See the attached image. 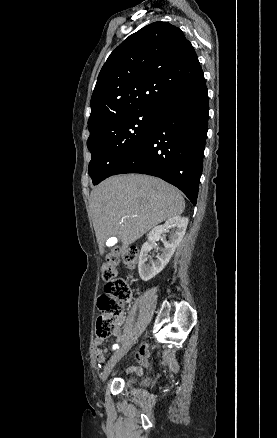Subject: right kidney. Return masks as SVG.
I'll return each mask as SVG.
<instances>
[{
  "label": "right kidney",
  "mask_w": 277,
  "mask_h": 438,
  "mask_svg": "<svg viewBox=\"0 0 277 438\" xmlns=\"http://www.w3.org/2000/svg\"><path fill=\"white\" fill-rule=\"evenodd\" d=\"M188 222V218H184V216H174V218H169L163 226H155V228L149 232L148 242H145L141 248L138 264L139 276L143 282H149V280L155 278V276H157L159 272H162L163 268L167 266L177 246H179L183 236L186 234ZM169 228H173V232L170 234L168 242H163L164 248H162L160 254L156 256V260H152V258L148 256L152 250L151 244H155L156 240H159L162 234L169 232Z\"/></svg>",
  "instance_id": "ca27d5eb"
}]
</instances>
